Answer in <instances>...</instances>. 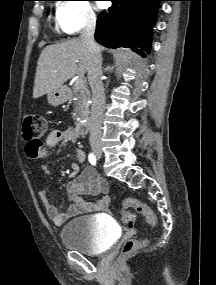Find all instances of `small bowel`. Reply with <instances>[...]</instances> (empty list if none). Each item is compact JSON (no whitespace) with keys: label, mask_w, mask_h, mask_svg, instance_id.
<instances>
[{"label":"small bowel","mask_w":216,"mask_h":285,"mask_svg":"<svg viewBox=\"0 0 216 285\" xmlns=\"http://www.w3.org/2000/svg\"><path fill=\"white\" fill-rule=\"evenodd\" d=\"M80 132L73 127L65 129H55L49 133L45 140V147L41 153L34 158H41L47 155L49 148L60 146L62 149L67 148L69 145H75L79 138ZM86 154L82 148H74V158L83 162ZM46 173H51V168L48 165L43 167ZM67 198L70 201L65 212H60L57 207L51 202L47 190L44 189L40 192V200L45 208L46 214L55 225H62L68 219L84 214L93 213L105 210L110 202L107 195H104L98 201H87L84 196L86 195H99L107 192V185L102 180L96 171L90 167L85 168L77 177L72 179L67 184Z\"/></svg>","instance_id":"obj_1"}]
</instances>
